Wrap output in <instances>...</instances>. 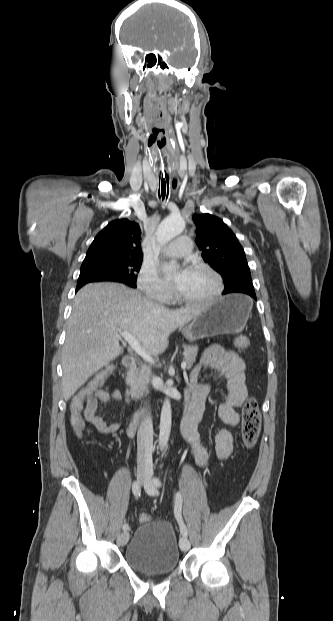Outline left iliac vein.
<instances>
[{"label":"left iliac vein","instance_id":"left-iliac-vein-1","mask_svg":"<svg viewBox=\"0 0 333 621\" xmlns=\"http://www.w3.org/2000/svg\"><path fill=\"white\" fill-rule=\"evenodd\" d=\"M145 482L148 483L149 485H152V473L151 472H148V474L146 476V479H145ZM147 492L150 495H155L157 493V489H156V487L151 486L147 490ZM179 546H180V549L182 551H184V552L188 551L190 549V542H189L188 538L185 537V536L181 537L180 540H179Z\"/></svg>","mask_w":333,"mask_h":621}]
</instances>
